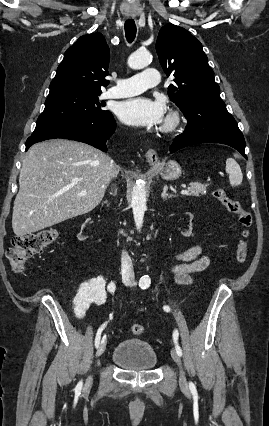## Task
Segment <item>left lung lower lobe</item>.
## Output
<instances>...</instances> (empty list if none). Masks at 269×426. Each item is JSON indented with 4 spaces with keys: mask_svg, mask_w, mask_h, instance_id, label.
<instances>
[{
    "mask_svg": "<svg viewBox=\"0 0 269 426\" xmlns=\"http://www.w3.org/2000/svg\"><path fill=\"white\" fill-rule=\"evenodd\" d=\"M183 114L188 123L185 131L173 140L172 153L190 145L222 143L235 148L247 159L243 134L223 101H200Z\"/></svg>",
    "mask_w": 269,
    "mask_h": 426,
    "instance_id": "left-lung-lower-lobe-1",
    "label": "left lung lower lobe"
}]
</instances>
